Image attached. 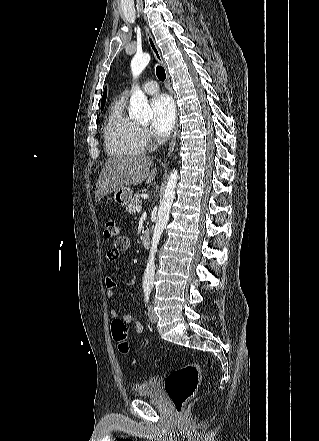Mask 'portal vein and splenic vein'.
<instances>
[{"mask_svg":"<svg viewBox=\"0 0 319 441\" xmlns=\"http://www.w3.org/2000/svg\"><path fill=\"white\" fill-rule=\"evenodd\" d=\"M141 210H142L141 206L136 207V212H141Z\"/></svg>","mask_w":319,"mask_h":441,"instance_id":"obj_1","label":"portal vein and splenic vein"}]
</instances>
